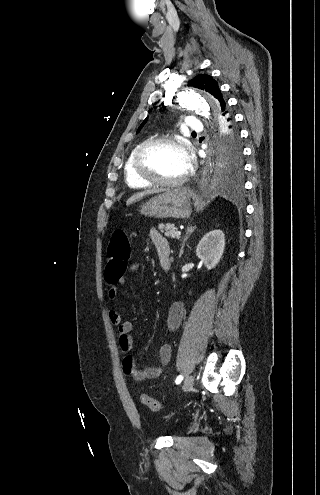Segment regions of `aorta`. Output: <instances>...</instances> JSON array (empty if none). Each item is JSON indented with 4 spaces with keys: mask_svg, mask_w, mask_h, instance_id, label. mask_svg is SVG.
I'll return each mask as SVG.
<instances>
[{
    "mask_svg": "<svg viewBox=\"0 0 320 495\" xmlns=\"http://www.w3.org/2000/svg\"><path fill=\"white\" fill-rule=\"evenodd\" d=\"M177 102L180 106L193 110L202 117L209 118L210 110L219 112L218 102L206 91L188 90L178 96ZM218 185L228 188L229 182L221 180Z\"/></svg>",
    "mask_w": 320,
    "mask_h": 495,
    "instance_id": "762f6f07",
    "label": "aorta"
}]
</instances>
